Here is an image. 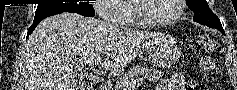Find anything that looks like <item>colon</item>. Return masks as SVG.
<instances>
[{
	"label": "colon",
	"mask_w": 237,
	"mask_h": 90,
	"mask_svg": "<svg viewBox=\"0 0 237 90\" xmlns=\"http://www.w3.org/2000/svg\"><path fill=\"white\" fill-rule=\"evenodd\" d=\"M205 42L209 47H215L217 45L216 42L210 38H206Z\"/></svg>",
	"instance_id": "5ec220e1"
}]
</instances>
